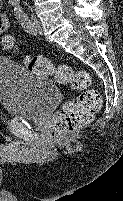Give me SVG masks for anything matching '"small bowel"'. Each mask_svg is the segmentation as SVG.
<instances>
[{"mask_svg": "<svg viewBox=\"0 0 123 201\" xmlns=\"http://www.w3.org/2000/svg\"><path fill=\"white\" fill-rule=\"evenodd\" d=\"M10 28V21L7 15L3 12H0V38L2 41L5 37L10 36L7 34Z\"/></svg>", "mask_w": 123, "mask_h": 201, "instance_id": "1", "label": "small bowel"}]
</instances>
